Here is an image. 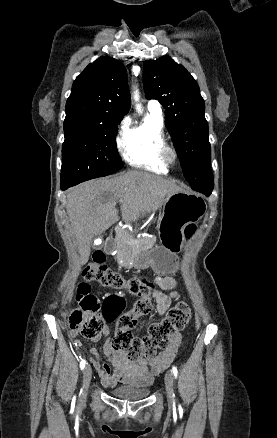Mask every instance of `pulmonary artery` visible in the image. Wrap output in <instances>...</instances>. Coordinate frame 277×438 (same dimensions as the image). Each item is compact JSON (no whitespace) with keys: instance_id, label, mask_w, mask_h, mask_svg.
Returning <instances> with one entry per match:
<instances>
[{"instance_id":"1","label":"pulmonary artery","mask_w":277,"mask_h":438,"mask_svg":"<svg viewBox=\"0 0 277 438\" xmlns=\"http://www.w3.org/2000/svg\"><path fill=\"white\" fill-rule=\"evenodd\" d=\"M147 108H148L149 112L152 115H154V116H156L158 118H162L163 117V111H162V108H161L160 105L149 103L147 105Z\"/></svg>"}]
</instances>
